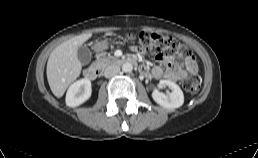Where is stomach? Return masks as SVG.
Here are the masks:
<instances>
[{"instance_id": "0dacf381", "label": "stomach", "mask_w": 258, "mask_h": 158, "mask_svg": "<svg viewBox=\"0 0 258 158\" xmlns=\"http://www.w3.org/2000/svg\"><path fill=\"white\" fill-rule=\"evenodd\" d=\"M109 45V40H99L95 43L94 49L98 52L105 50Z\"/></svg>"}]
</instances>
